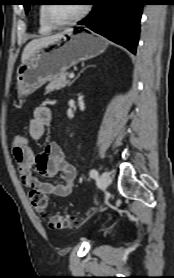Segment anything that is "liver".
Returning <instances> with one entry per match:
<instances>
[{
	"label": "liver",
	"instance_id": "obj_1",
	"mask_svg": "<svg viewBox=\"0 0 174 278\" xmlns=\"http://www.w3.org/2000/svg\"><path fill=\"white\" fill-rule=\"evenodd\" d=\"M70 30H66L62 33H58L55 35H51V36H47V37H42V38H38V39H34L32 41H30L24 48L23 52H22V56H21V61H25L27 58H29L32 53L44 46V45H48L54 41H56L57 39H59L63 34L69 32Z\"/></svg>",
	"mask_w": 174,
	"mask_h": 278
}]
</instances>
